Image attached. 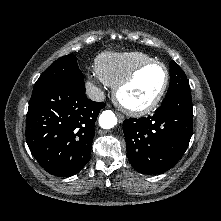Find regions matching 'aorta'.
<instances>
[{
	"mask_svg": "<svg viewBox=\"0 0 221 221\" xmlns=\"http://www.w3.org/2000/svg\"><path fill=\"white\" fill-rule=\"evenodd\" d=\"M117 124V117L111 110H105L99 116V125L103 129H111Z\"/></svg>",
	"mask_w": 221,
	"mask_h": 221,
	"instance_id": "1",
	"label": "aorta"
}]
</instances>
